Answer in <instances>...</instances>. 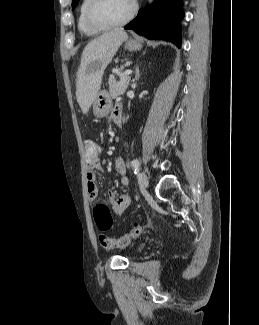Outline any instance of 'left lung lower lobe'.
<instances>
[{"label":"left lung lower lobe","mask_w":259,"mask_h":325,"mask_svg":"<svg viewBox=\"0 0 259 325\" xmlns=\"http://www.w3.org/2000/svg\"><path fill=\"white\" fill-rule=\"evenodd\" d=\"M182 6L183 0H155L145 10H140L137 18L124 29H132L151 40L164 39L180 47Z\"/></svg>","instance_id":"obj_1"}]
</instances>
